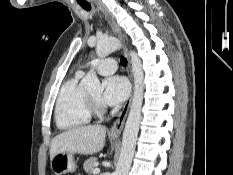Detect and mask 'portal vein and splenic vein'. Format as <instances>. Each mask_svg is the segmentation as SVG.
Returning <instances> with one entry per match:
<instances>
[{"mask_svg": "<svg viewBox=\"0 0 233 175\" xmlns=\"http://www.w3.org/2000/svg\"><path fill=\"white\" fill-rule=\"evenodd\" d=\"M98 173H100V169H99V168H94L93 174L96 175V174H98Z\"/></svg>", "mask_w": 233, "mask_h": 175, "instance_id": "portal-vein-and-splenic-vein-1", "label": "portal vein and splenic vein"}]
</instances>
